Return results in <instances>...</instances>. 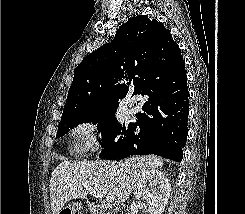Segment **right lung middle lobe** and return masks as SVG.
Wrapping results in <instances>:
<instances>
[{
  "mask_svg": "<svg viewBox=\"0 0 245 214\" xmlns=\"http://www.w3.org/2000/svg\"><path fill=\"white\" fill-rule=\"evenodd\" d=\"M92 122L98 124L97 127L102 131L101 146L104 150L100 154V158H105L110 148H114L122 144L125 138V127L114 117V111H89L63 114L59 123L56 138H60L69 131L70 128L76 127L80 123Z\"/></svg>",
  "mask_w": 245,
  "mask_h": 214,
  "instance_id": "right-lung-middle-lobe-1",
  "label": "right lung middle lobe"
}]
</instances>
